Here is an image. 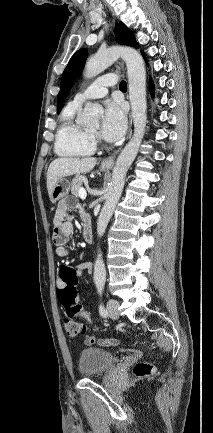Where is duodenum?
<instances>
[{
  "instance_id": "obj_1",
  "label": "duodenum",
  "mask_w": 213,
  "mask_h": 433,
  "mask_svg": "<svg viewBox=\"0 0 213 433\" xmlns=\"http://www.w3.org/2000/svg\"><path fill=\"white\" fill-rule=\"evenodd\" d=\"M83 236L87 243L93 242V234L90 226L83 227Z\"/></svg>"
}]
</instances>
